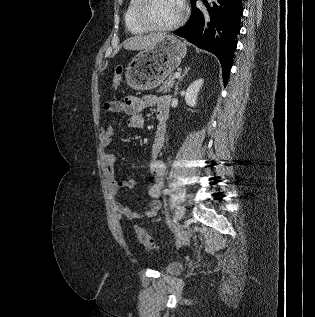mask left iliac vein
Here are the masks:
<instances>
[{
    "mask_svg": "<svg viewBox=\"0 0 315 317\" xmlns=\"http://www.w3.org/2000/svg\"><path fill=\"white\" fill-rule=\"evenodd\" d=\"M185 208L182 205H178L175 210V222H179L184 216Z\"/></svg>",
    "mask_w": 315,
    "mask_h": 317,
    "instance_id": "left-iliac-vein-1",
    "label": "left iliac vein"
}]
</instances>
